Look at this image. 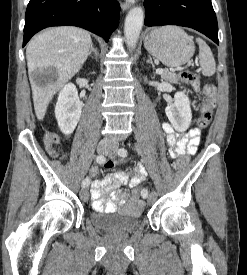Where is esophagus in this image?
<instances>
[{"instance_id": "34e87169", "label": "esophagus", "mask_w": 247, "mask_h": 275, "mask_svg": "<svg viewBox=\"0 0 247 275\" xmlns=\"http://www.w3.org/2000/svg\"><path fill=\"white\" fill-rule=\"evenodd\" d=\"M130 7H131V4H129V3H125V2L121 3V8L123 11L128 10Z\"/></svg>"}]
</instances>
